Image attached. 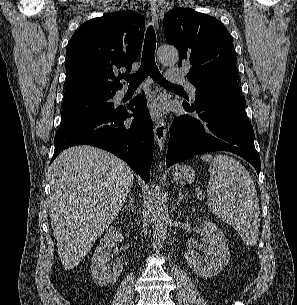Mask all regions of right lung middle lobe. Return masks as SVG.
<instances>
[{
  "label": "right lung middle lobe",
  "instance_id": "1",
  "mask_svg": "<svg viewBox=\"0 0 297 305\" xmlns=\"http://www.w3.org/2000/svg\"><path fill=\"white\" fill-rule=\"evenodd\" d=\"M115 92L98 93L64 102L60 128L94 112L109 111L116 107L111 102Z\"/></svg>",
  "mask_w": 297,
  "mask_h": 305
}]
</instances>
